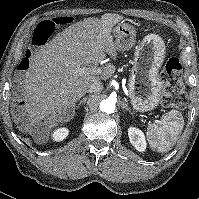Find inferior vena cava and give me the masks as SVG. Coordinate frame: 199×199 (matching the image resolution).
Wrapping results in <instances>:
<instances>
[{
	"label": "inferior vena cava",
	"mask_w": 199,
	"mask_h": 199,
	"mask_svg": "<svg viewBox=\"0 0 199 199\" xmlns=\"http://www.w3.org/2000/svg\"><path fill=\"white\" fill-rule=\"evenodd\" d=\"M102 88H103V86H102V84L100 82H93L87 88V92H89V93H96V92L101 91Z\"/></svg>",
	"instance_id": "602c4592"
}]
</instances>
